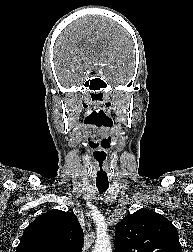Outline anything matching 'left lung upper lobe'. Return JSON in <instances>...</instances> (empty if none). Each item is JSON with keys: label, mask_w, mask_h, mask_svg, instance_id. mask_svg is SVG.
<instances>
[{"label": "left lung upper lobe", "mask_w": 193, "mask_h": 252, "mask_svg": "<svg viewBox=\"0 0 193 252\" xmlns=\"http://www.w3.org/2000/svg\"><path fill=\"white\" fill-rule=\"evenodd\" d=\"M116 252H182L176 227L164 216L139 209L116 224Z\"/></svg>", "instance_id": "1"}]
</instances>
